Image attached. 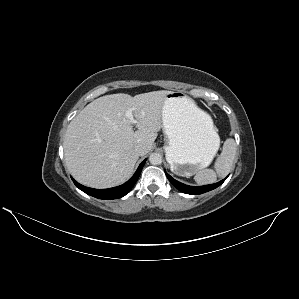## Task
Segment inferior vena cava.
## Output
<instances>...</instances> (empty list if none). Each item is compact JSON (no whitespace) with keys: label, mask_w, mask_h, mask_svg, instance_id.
<instances>
[{"label":"inferior vena cava","mask_w":299,"mask_h":299,"mask_svg":"<svg viewBox=\"0 0 299 299\" xmlns=\"http://www.w3.org/2000/svg\"><path fill=\"white\" fill-rule=\"evenodd\" d=\"M135 153L139 156H143L146 152L145 147L143 145H137L134 149Z\"/></svg>","instance_id":"1"}]
</instances>
